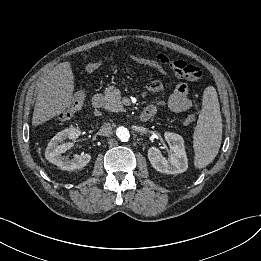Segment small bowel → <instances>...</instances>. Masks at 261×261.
Wrapping results in <instances>:
<instances>
[{"instance_id":"small-bowel-1","label":"small bowel","mask_w":261,"mask_h":261,"mask_svg":"<svg viewBox=\"0 0 261 261\" xmlns=\"http://www.w3.org/2000/svg\"><path fill=\"white\" fill-rule=\"evenodd\" d=\"M136 62L142 65H146L148 59L143 54H136L134 56ZM159 62L166 63L169 59L167 56L159 54L156 57ZM100 63L98 61H89L85 66L86 74H94L98 71ZM148 90L152 93L162 92L164 89L163 83L158 79H153L149 82L147 86ZM168 106L172 111L184 112L190 109L192 106V100L189 97V88L183 83H177L175 89L168 100ZM148 107L152 108L154 113L157 111V106L155 104H150Z\"/></svg>"}]
</instances>
